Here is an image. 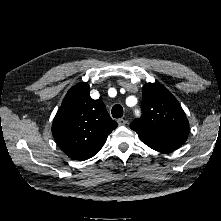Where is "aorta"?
Segmentation results:
<instances>
[{
  "instance_id": "762f6f07",
  "label": "aorta",
  "mask_w": 221,
  "mask_h": 221,
  "mask_svg": "<svg viewBox=\"0 0 221 221\" xmlns=\"http://www.w3.org/2000/svg\"><path fill=\"white\" fill-rule=\"evenodd\" d=\"M136 114H137V115L139 114V111H138V110L136 111Z\"/></svg>"
}]
</instances>
